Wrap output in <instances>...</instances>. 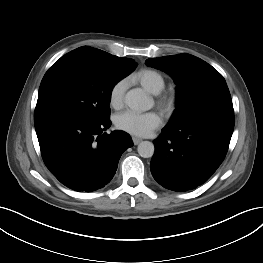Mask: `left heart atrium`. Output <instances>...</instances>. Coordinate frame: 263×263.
<instances>
[{"label": "left heart atrium", "instance_id": "left-heart-atrium-1", "mask_svg": "<svg viewBox=\"0 0 263 263\" xmlns=\"http://www.w3.org/2000/svg\"><path fill=\"white\" fill-rule=\"evenodd\" d=\"M115 126L135 136H147L161 124V117L156 112L138 113L124 111L114 118Z\"/></svg>", "mask_w": 263, "mask_h": 263}]
</instances>
